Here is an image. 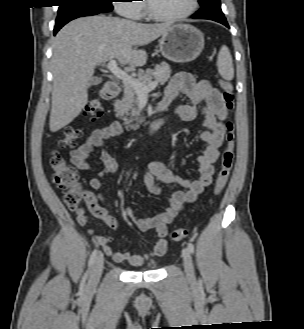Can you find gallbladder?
Masks as SVG:
<instances>
[{
  "instance_id": "obj_1",
  "label": "gallbladder",
  "mask_w": 304,
  "mask_h": 329,
  "mask_svg": "<svg viewBox=\"0 0 304 329\" xmlns=\"http://www.w3.org/2000/svg\"><path fill=\"white\" fill-rule=\"evenodd\" d=\"M100 79L97 78V77H94L91 79V81L89 82V85L88 86H91V85H96L97 83H99Z\"/></svg>"
}]
</instances>
